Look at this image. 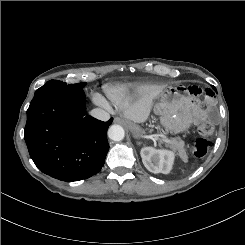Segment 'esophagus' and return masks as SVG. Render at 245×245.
I'll return each mask as SVG.
<instances>
[{"label": "esophagus", "instance_id": "1", "mask_svg": "<svg viewBox=\"0 0 245 245\" xmlns=\"http://www.w3.org/2000/svg\"><path fill=\"white\" fill-rule=\"evenodd\" d=\"M114 122L115 123H121V122H123V119L116 117V118H114Z\"/></svg>", "mask_w": 245, "mask_h": 245}]
</instances>
